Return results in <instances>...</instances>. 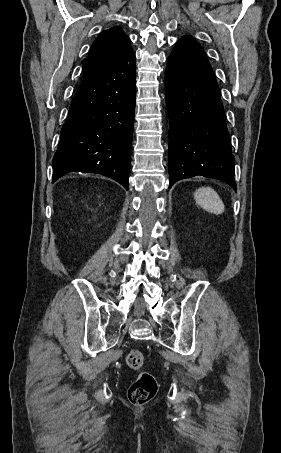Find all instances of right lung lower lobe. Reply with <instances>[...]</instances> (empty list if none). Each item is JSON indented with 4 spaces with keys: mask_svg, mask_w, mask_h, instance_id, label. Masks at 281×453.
<instances>
[{
    "mask_svg": "<svg viewBox=\"0 0 281 453\" xmlns=\"http://www.w3.org/2000/svg\"><path fill=\"white\" fill-rule=\"evenodd\" d=\"M134 52L83 78L53 158V182L70 172L110 177L128 190L136 102Z\"/></svg>",
    "mask_w": 281,
    "mask_h": 453,
    "instance_id": "98d812e1",
    "label": "right lung lower lobe"
}]
</instances>
